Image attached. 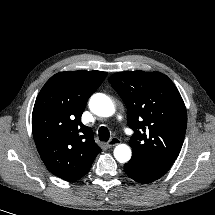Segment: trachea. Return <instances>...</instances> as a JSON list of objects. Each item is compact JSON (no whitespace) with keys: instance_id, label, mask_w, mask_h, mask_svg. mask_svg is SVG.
Returning <instances> with one entry per match:
<instances>
[{"instance_id":"trachea-1","label":"trachea","mask_w":215,"mask_h":215,"mask_svg":"<svg viewBox=\"0 0 215 215\" xmlns=\"http://www.w3.org/2000/svg\"><path fill=\"white\" fill-rule=\"evenodd\" d=\"M99 139L101 140V141H108L109 140V138H110V132H109V130L106 128V127H104V126H101L100 128H99Z\"/></svg>"}]
</instances>
